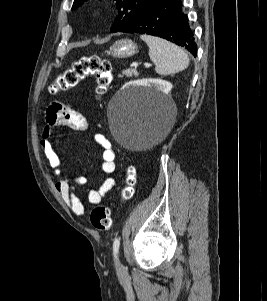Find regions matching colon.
<instances>
[{
    "label": "colon",
    "mask_w": 267,
    "mask_h": 301,
    "mask_svg": "<svg viewBox=\"0 0 267 301\" xmlns=\"http://www.w3.org/2000/svg\"><path fill=\"white\" fill-rule=\"evenodd\" d=\"M93 76L97 81L96 93L103 96L113 79L112 66L109 60L96 55L83 56L60 74L51 84L49 91L53 94L67 91L77 86L85 78ZM135 173L129 168L126 173L125 186L121 191L122 200H128L134 192ZM92 225L106 231L112 224V211L110 206L102 205L92 209L90 214Z\"/></svg>",
    "instance_id": "obj_1"
}]
</instances>
